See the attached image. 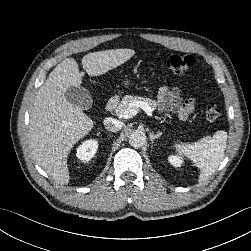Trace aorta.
Listing matches in <instances>:
<instances>
[{
  "label": "aorta",
  "mask_w": 251,
  "mask_h": 251,
  "mask_svg": "<svg viewBox=\"0 0 251 251\" xmlns=\"http://www.w3.org/2000/svg\"><path fill=\"white\" fill-rule=\"evenodd\" d=\"M146 142V136L141 131H133L129 136V143L134 148L142 147Z\"/></svg>",
  "instance_id": "1"
}]
</instances>
